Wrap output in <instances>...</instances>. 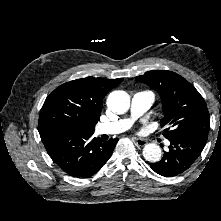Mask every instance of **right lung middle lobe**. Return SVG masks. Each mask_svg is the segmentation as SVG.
<instances>
[{
    "label": "right lung middle lobe",
    "mask_w": 221,
    "mask_h": 221,
    "mask_svg": "<svg viewBox=\"0 0 221 221\" xmlns=\"http://www.w3.org/2000/svg\"><path fill=\"white\" fill-rule=\"evenodd\" d=\"M88 132H91V133H93V132H94V130H92V131H88Z\"/></svg>",
    "instance_id": "1"
}]
</instances>
